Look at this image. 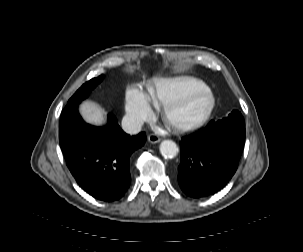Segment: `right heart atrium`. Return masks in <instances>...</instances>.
Segmentation results:
<instances>
[{"instance_id":"obj_1","label":"right heart atrium","mask_w":303,"mask_h":252,"mask_svg":"<svg viewBox=\"0 0 303 252\" xmlns=\"http://www.w3.org/2000/svg\"><path fill=\"white\" fill-rule=\"evenodd\" d=\"M125 111L128 123L141 125L152 116L153 107L140 90L132 88L126 95Z\"/></svg>"}]
</instances>
